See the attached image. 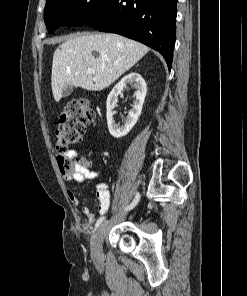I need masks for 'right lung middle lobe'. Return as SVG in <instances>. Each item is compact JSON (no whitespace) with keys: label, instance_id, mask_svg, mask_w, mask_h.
<instances>
[{"label":"right lung middle lobe","instance_id":"right-lung-middle-lobe-1","mask_svg":"<svg viewBox=\"0 0 247 296\" xmlns=\"http://www.w3.org/2000/svg\"><path fill=\"white\" fill-rule=\"evenodd\" d=\"M107 0H47L44 19L48 32L60 26L87 24L100 14Z\"/></svg>","mask_w":247,"mask_h":296}]
</instances>
